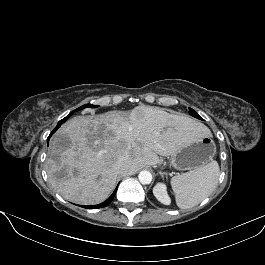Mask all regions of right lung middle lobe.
<instances>
[{
    "mask_svg": "<svg viewBox=\"0 0 265 265\" xmlns=\"http://www.w3.org/2000/svg\"><path fill=\"white\" fill-rule=\"evenodd\" d=\"M87 107H98V106H95V105H92V104H85V105H83V106H81V107H79V108H77L76 110H74L73 112H71L68 116H66L64 119H62V120H60L59 121V123H58V125L59 124H62L63 122H65L75 111H78V110H82V109H84V108H87Z\"/></svg>",
    "mask_w": 265,
    "mask_h": 265,
    "instance_id": "dd1d6c3e",
    "label": "right lung middle lobe"
}]
</instances>
